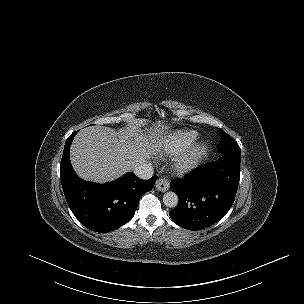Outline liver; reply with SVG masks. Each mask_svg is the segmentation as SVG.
Instances as JSON below:
<instances>
[{"label": "liver", "mask_w": 304, "mask_h": 304, "mask_svg": "<svg viewBox=\"0 0 304 304\" xmlns=\"http://www.w3.org/2000/svg\"><path fill=\"white\" fill-rule=\"evenodd\" d=\"M149 137L135 127L119 132L99 126L84 128L71 145L72 166L84 180L113 181L160 151L162 137Z\"/></svg>", "instance_id": "obj_1"}]
</instances>
